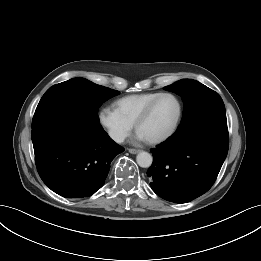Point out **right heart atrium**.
I'll return each instance as SVG.
<instances>
[{
  "mask_svg": "<svg viewBox=\"0 0 261 261\" xmlns=\"http://www.w3.org/2000/svg\"><path fill=\"white\" fill-rule=\"evenodd\" d=\"M98 121L109 137L122 143L131 133L133 124L123 118L115 109L103 107L98 112Z\"/></svg>",
  "mask_w": 261,
  "mask_h": 261,
  "instance_id": "d8ad5b80",
  "label": "right heart atrium"
}]
</instances>
